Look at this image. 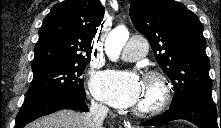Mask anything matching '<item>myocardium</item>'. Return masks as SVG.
I'll list each match as a JSON object with an SVG mask.
<instances>
[{"mask_svg": "<svg viewBox=\"0 0 221 128\" xmlns=\"http://www.w3.org/2000/svg\"><path fill=\"white\" fill-rule=\"evenodd\" d=\"M145 83L154 87L155 95L149 105L133 108L132 111L139 117L155 116L162 112L167 106L171 95L168 80L166 76L160 72H148L145 76Z\"/></svg>", "mask_w": 221, "mask_h": 128, "instance_id": "myocardium-1", "label": "myocardium"}]
</instances>
